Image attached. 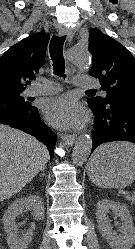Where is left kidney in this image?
<instances>
[{
  "label": "left kidney",
  "mask_w": 135,
  "mask_h": 249,
  "mask_svg": "<svg viewBox=\"0 0 135 249\" xmlns=\"http://www.w3.org/2000/svg\"><path fill=\"white\" fill-rule=\"evenodd\" d=\"M111 210L121 217V234L114 232L109 224L107 214ZM96 218L99 232L107 240L111 249H131L135 243V228L132 217L125 204L109 199H102L97 203Z\"/></svg>",
  "instance_id": "obj_1"
}]
</instances>
